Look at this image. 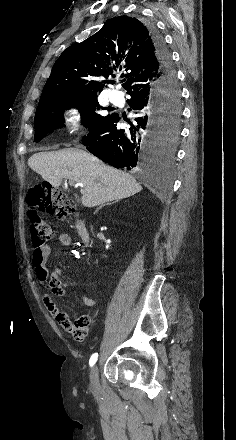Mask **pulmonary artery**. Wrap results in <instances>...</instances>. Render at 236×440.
Returning a JSON list of instances; mask_svg holds the SVG:
<instances>
[{
  "label": "pulmonary artery",
  "instance_id": "1",
  "mask_svg": "<svg viewBox=\"0 0 236 440\" xmlns=\"http://www.w3.org/2000/svg\"><path fill=\"white\" fill-rule=\"evenodd\" d=\"M110 99L114 104H120L122 102V95L117 91H112L110 94Z\"/></svg>",
  "mask_w": 236,
  "mask_h": 440
}]
</instances>
